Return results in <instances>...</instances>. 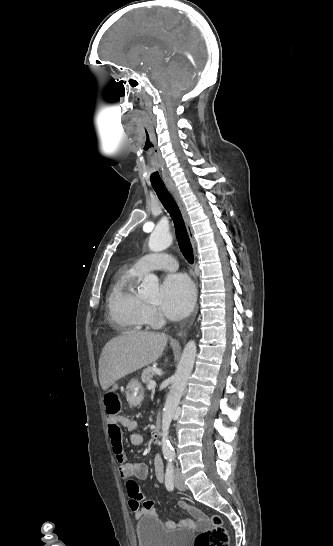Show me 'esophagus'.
I'll return each mask as SVG.
<instances>
[{
    "label": "esophagus",
    "mask_w": 333,
    "mask_h": 546,
    "mask_svg": "<svg viewBox=\"0 0 333 546\" xmlns=\"http://www.w3.org/2000/svg\"><path fill=\"white\" fill-rule=\"evenodd\" d=\"M167 188L169 190V192L172 194L173 198L175 199L181 213H182V216H183V219H184V222L186 224V227H187V230H188V234H189V237L192 241V244L193 246L195 247V241H194V235H193V228L191 226V223H190V219H189V215H188V212H187V209H186V206L179 194V191L177 189V187L174 185V184H167ZM194 256L196 258L197 254L196 252H194ZM197 311H198V306H196L195 310H194V314H193V317L196 316L197 314Z\"/></svg>",
    "instance_id": "34e87169"
}]
</instances>
